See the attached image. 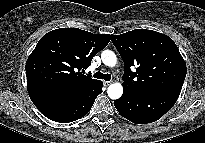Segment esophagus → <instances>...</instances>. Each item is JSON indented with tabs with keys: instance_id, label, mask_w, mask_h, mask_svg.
Returning <instances> with one entry per match:
<instances>
[{
	"instance_id": "1",
	"label": "esophagus",
	"mask_w": 205,
	"mask_h": 143,
	"mask_svg": "<svg viewBox=\"0 0 205 143\" xmlns=\"http://www.w3.org/2000/svg\"><path fill=\"white\" fill-rule=\"evenodd\" d=\"M103 84H104L105 87H107L111 84V81H104Z\"/></svg>"
}]
</instances>
